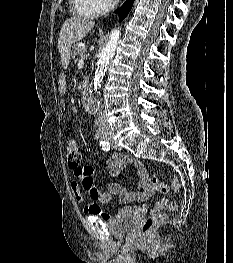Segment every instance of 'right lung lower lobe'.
<instances>
[{
	"mask_svg": "<svg viewBox=\"0 0 233 263\" xmlns=\"http://www.w3.org/2000/svg\"><path fill=\"white\" fill-rule=\"evenodd\" d=\"M134 0H126V2L116 10V12L119 14V22H121L129 13V11L132 8Z\"/></svg>",
	"mask_w": 233,
	"mask_h": 263,
	"instance_id": "1",
	"label": "right lung lower lobe"
}]
</instances>
